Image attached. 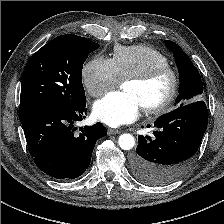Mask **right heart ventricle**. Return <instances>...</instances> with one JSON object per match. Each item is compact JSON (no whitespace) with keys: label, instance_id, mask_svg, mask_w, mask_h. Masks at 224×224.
I'll return each instance as SVG.
<instances>
[{"label":"right heart ventricle","instance_id":"right-heart-ventricle-1","mask_svg":"<svg viewBox=\"0 0 224 224\" xmlns=\"http://www.w3.org/2000/svg\"><path fill=\"white\" fill-rule=\"evenodd\" d=\"M111 60L122 80L169 63L165 54L144 45L117 46Z\"/></svg>","mask_w":224,"mask_h":224}]
</instances>
